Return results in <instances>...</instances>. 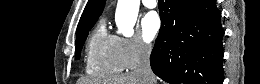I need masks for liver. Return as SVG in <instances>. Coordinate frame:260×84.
Segmentation results:
<instances>
[{
  "instance_id": "liver-1",
  "label": "liver",
  "mask_w": 260,
  "mask_h": 84,
  "mask_svg": "<svg viewBox=\"0 0 260 84\" xmlns=\"http://www.w3.org/2000/svg\"><path fill=\"white\" fill-rule=\"evenodd\" d=\"M84 84H144L141 77L134 72L115 75L104 79H87Z\"/></svg>"
}]
</instances>
